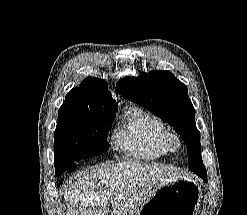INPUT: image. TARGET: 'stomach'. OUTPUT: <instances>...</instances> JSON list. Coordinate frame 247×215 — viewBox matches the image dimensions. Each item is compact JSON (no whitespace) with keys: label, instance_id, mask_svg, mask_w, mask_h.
<instances>
[{"label":"stomach","instance_id":"obj_1","mask_svg":"<svg viewBox=\"0 0 247 215\" xmlns=\"http://www.w3.org/2000/svg\"><path fill=\"white\" fill-rule=\"evenodd\" d=\"M202 198L198 182L185 175L166 178L136 215H196Z\"/></svg>","mask_w":247,"mask_h":215}]
</instances>
